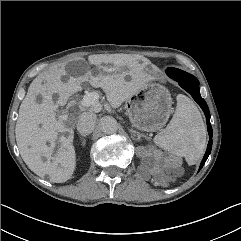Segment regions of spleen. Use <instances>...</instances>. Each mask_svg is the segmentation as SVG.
I'll return each mask as SVG.
<instances>
[{
  "label": "spleen",
  "mask_w": 241,
  "mask_h": 241,
  "mask_svg": "<svg viewBox=\"0 0 241 241\" xmlns=\"http://www.w3.org/2000/svg\"><path fill=\"white\" fill-rule=\"evenodd\" d=\"M175 113L165 129L154 137V143L194 165L206 145V128L194 102L183 94L177 96Z\"/></svg>",
  "instance_id": "3e777b00"
}]
</instances>
